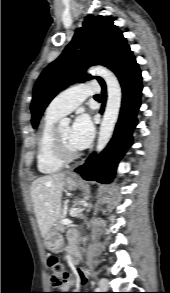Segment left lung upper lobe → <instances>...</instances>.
<instances>
[{
    "mask_svg": "<svg viewBox=\"0 0 170 293\" xmlns=\"http://www.w3.org/2000/svg\"><path fill=\"white\" fill-rule=\"evenodd\" d=\"M129 49L122 32L110 17L89 15L78 28L60 57L48 65L34 86L31 104L32 125L37 128L40 117L54 96L75 82H84L91 65L112 68ZM100 83L104 82L97 77Z\"/></svg>",
    "mask_w": 170,
    "mask_h": 293,
    "instance_id": "left-lung-upper-lobe-1",
    "label": "left lung upper lobe"
}]
</instances>
